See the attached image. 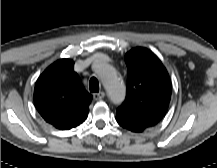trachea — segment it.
<instances>
[{"label":"trachea","instance_id":"trachea-1","mask_svg":"<svg viewBox=\"0 0 217 168\" xmlns=\"http://www.w3.org/2000/svg\"><path fill=\"white\" fill-rule=\"evenodd\" d=\"M89 89L91 92H98L99 91V82H98L97 78L92 77L90 79Z\"/></svg>","mask_w":217,"mask_h":168}]
</instances>
